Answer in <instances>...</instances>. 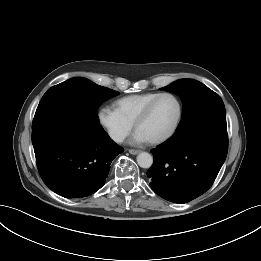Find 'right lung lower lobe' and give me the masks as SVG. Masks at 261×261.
I'll use <instances>...</instances> for the list:
<instances>
[{
	"instance_id": "1",
	"label": "right lung lower lobe",
	"mask_w": 261,
	"mask_h": 261,
	"mask_svg": "<svg viewBox=\"0 0 261 261\" xmlns=\"http://www.w3.org/2000/svg\"><path fill=\"white\" fill-rule=\"evenodd\" d=\"M32 143L44 183L66 198L100 189L112 160L124 151L100 125L65 117L32 127Z\"/></svg>"
}]
</instances>
